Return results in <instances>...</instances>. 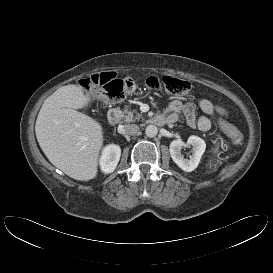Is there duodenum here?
Listing matches in <instances>:
<instances>
[{
	"instance_id": "1",
	"label": "duodenum",
	"mask_w": 273,
	"mask_h": 273,
	"mask_svg": "<svg viewBox=\"0 0 273 273\" xmlns=\"http://www.w3.org/2000/svg\"><path fill=\"white\" fill-rule=\"evenodd\" d=\"M121 118V114L117 108H112L108 112V121L112 125H116ZM149 122L156 126L168 124L167 119L163 115H156L149 119Z\"/></svg>"
}]
</instances>
